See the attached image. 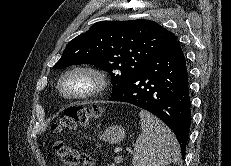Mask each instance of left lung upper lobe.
<instances>
[{"mask_svg": "<svg viewBox=\"0 0 231 166\" xmlns=\"http://www.w3.org/2000/svg\"><path fill=\"white\" fill-rule=\"evenodd\" d=\"M173 36L150 20L97 22L67 44L54 67L93 63L111 75L115 93L155 58Z\"/></svg>", "mask_w": 231, "mask_h": 166, "instance_id": "1", "label": "left lung upper lobe"}]
</instances>
